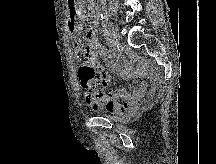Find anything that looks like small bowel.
<instances>
[{"mask_svg": "<svg viewBox=\"0 0 216 164\" xmlns=\"http://www.w3.org/2000/svg\"><path fill=\"white\" fill-rule=\"evenodd\" d=\"M85 43V48L76 47V56L84 54L95 67L100 69V59L106 54V49L99 43L94 25H89L85 29ZM108 65L123 79L129 80L132 92L126 89L106 92L104 87L109 83V76L107 73H103L102 87L85 91L84 98L94 110L109 112L116 117H125L135 109L137 101L146 91L145 84L140 80L146 75V68L140 60L135 67H132L130 60L119 54L112 55ZM119 99L123 102H119Z\"/></svg>", "mask_w": 216, "mask_h": 164, "instance_id": "obj_1", "label": "small bowel"}]
</instances>
